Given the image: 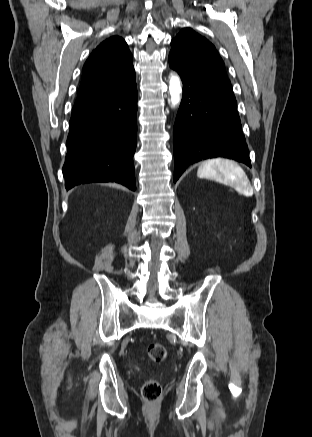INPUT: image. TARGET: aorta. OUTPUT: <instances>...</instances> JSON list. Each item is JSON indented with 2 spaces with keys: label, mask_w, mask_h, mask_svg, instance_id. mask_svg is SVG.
Instances as JSON below:
<instances>
[{
  "label": "aorta",
  "mask_w": 312,
  "mask_h": 437,
  "mask_svg": "<svg viewBox=\"0 0 312 437\" xmlns=\"http://www.w3.org/2000/svg\"><path fill=\"white\" fill-rule=\"evenodd\" d=\"M169 92L171 95V104L176 106L181 100V81L177 75H172L169 82Z\"/></svg>",
  "instance_id": "obj_1"
}]
</instances>
